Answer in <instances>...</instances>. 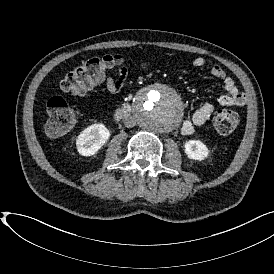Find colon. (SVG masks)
I'll return each instance as SVG.
<instances>
[{
    "label": "colon",
    "mask_w": 274,
    "mask_h": 274,
    "mask_svg": "<svg viewBox=\"0 0 274 274\" xmlns=\"http://www.w3.org/2000/svg\"><path fill=\"white\" fill-rule=\"evenodd\" d=\"M123 59L118 55H103L92 57L83 61L65 73L60 81L63 95H53L47 100L49 119L46 124V135L49 138H59L76 123V112L66 101L67 94L85 85L102 73L110 75L122 71ZM239 117L234 111L219 109L213 115L212 125L214 131L221 136L232 134L238 127Z\"/></svg>",
    "instance_id": "colon-1"
}]
</instances>
